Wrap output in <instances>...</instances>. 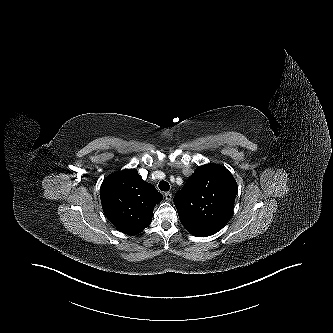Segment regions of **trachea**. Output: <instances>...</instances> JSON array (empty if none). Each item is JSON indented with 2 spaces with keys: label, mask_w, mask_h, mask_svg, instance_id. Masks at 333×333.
<instances>
[{
  "label": "trachea",
  "mask_w": 333,
  "mask_h": 333,
  "mask_svg": "<svg viewBox=\"0 0 333 333\" xmlns=\"http://www.w3.org/2000/svg\"><path fill=\"white\" fill-rule=\"evenodd\" d=\"M158 186H159V189L161 191H165L166 192V191H169V189H170V185L166 181H161Z\"/></svg>",
  "instance_id": "3493384b"
}]
</instances>
